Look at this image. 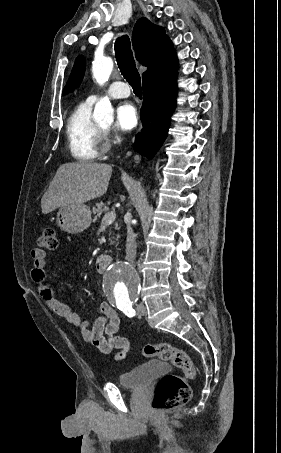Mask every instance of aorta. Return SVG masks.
<instances>
[{"instance_id": "762f6f07", "label": "aorta", "mask_w": 281, "mask_h": 453, "mask_svg": "<svg viewBox=\"0 0 281 453\" xmlns=\"http://www.w3.org/2000/svg\"><path fill=\"white\" fill-rule=\"evenodd\" d=\"M112 69L111 58L102 57L93 61V77L100 86L108 81ZM93 118L98 122H113L114 109L107 97L101 98L96 103ZM102 288L108 301L122 307L137 299L140 291V279L132 266L115 263L103 275Z\"/></svg>"}]
</instances>
